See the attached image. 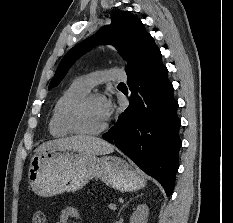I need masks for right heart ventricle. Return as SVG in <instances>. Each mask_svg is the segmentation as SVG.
Here are the masks:
<instances>
[{"mask_svg": "<svg viewBox=\"0 0 233 223\" xmlns=\"http://www.w3.org/2000/svg\"><path fill=\"white\" fill-rule=\"evenodd\" d=\"M88 92L78 80L62 91L53 105L48 122V130L52 137L64 138L74 134L66 124V113L76 100Z\"/></svg>", "mask_w": 233, "mask_h": 223, "instance_id": "right-heart-ventricle-1", "label": "right heart ventricle"}]
</instances>
